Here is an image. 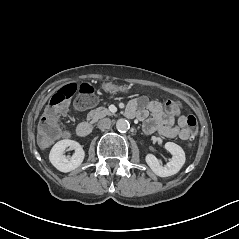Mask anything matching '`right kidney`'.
<instances>
[{
    "label": "right kidney",
    "instance_id": "ca27d5eb",
    "mask_svg": "<svg viewBox=\"0 0 239 239\" xmlns=\"http://www.w3.org/2000/svg\"><path fill=\"white\" fill-rule=\"evenodd\" d=\"M76 149L70 160H66L64 153ZM84 160V152L76 141L64 139L58 141L51 149L49 161L60 172L68 173L78 168Z\"/></svg>",
    "mask_w": 239,
    "mask_h": 239
}]
</instances>
